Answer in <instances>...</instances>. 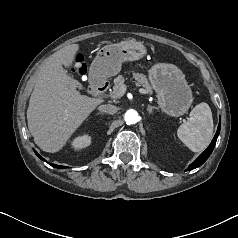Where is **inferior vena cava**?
<instances>
[{
	"label": "inferior vena cava",
	"mask_w": 238,
	"mask_h": 238,
	"mask_svg": "<svg viewBox=\"0 0 238 238\" xmlns=\"http://www.w3.org/2000/svg\"><path fill=\"white\" fill-rule=\"evenodd\" d=\"M98 110L102 113L107 114H115L117 112V108L114 105L111 104H103L98 107Z\"/></svg>",
	"instance_id": "602c4592"
}]
</instances>
